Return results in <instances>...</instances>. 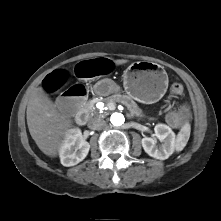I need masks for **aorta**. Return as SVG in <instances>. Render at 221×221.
Returning a JSON list of instances; mask_svg holds the SVG:
<instances>
[{
    "instance_id": "762f6f07",
    "label": "aorta",
    "mask_w": 221,
    "mask_h": 221,
    "mask_svg": "<svg viewBox=\"0 0 221 221\" xmlns=\"http://www.w3.org/2000/svg\"><path fill=\"white\" fill-rule=\"evenodd\" d=\"M110 121L114 126H121L124 123L125 118L123 114L116 112L111 115Z\"/></svg>"
}]
</instances>
